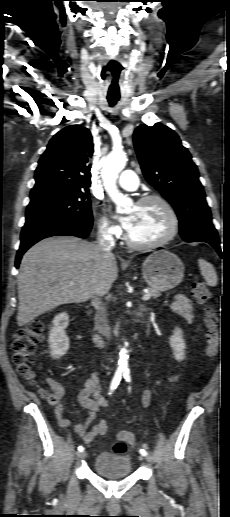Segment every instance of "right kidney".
Returning <instances> with one entry per match:
<instances>
[{
  "label": "right kidney",
  "instance_id": "1",
  "mask_svg": "<svg viewBox=\"0 0 230 517\" xmlns=\"http://www.w3.org/2000/svg\"><path fill=\"white\" fill-rule=\"evenodd\" d=\"M53 327L49 333V347L51 357L58 359L65 355L69 349V338L65 329L69 324L68 314L63 312L56 315L52 321Z\"/></svg>",
  "mask_w": 230,
  "mask_h": 517
}]
</instances>
